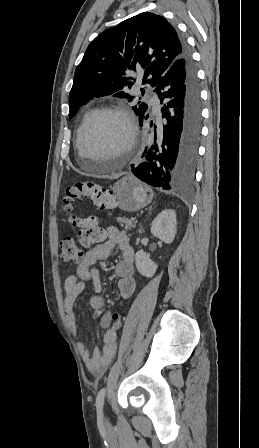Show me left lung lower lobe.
<instances>
[{
    "mask_svg": "<svg viewBox=\"0 0 259 448\" xmlns=\"http://www.w3.org/2000/svg\"><path fill=\"white\" fill-rule=\"evenodd\" d=\"M183 44L182 56L161 76L155 91L162 118L154 144L145 149L144 161L131 165L132 173L154 187L182 191L192 186L201 132V99L196 68L191 54ZM149 115L140 120V126Z\"/></svg>",
    "mask_w": 259,
    "mask_h": 448,
    "instance_id": "1",
    "label": "left lung lower lobe"
}]
</instances>
